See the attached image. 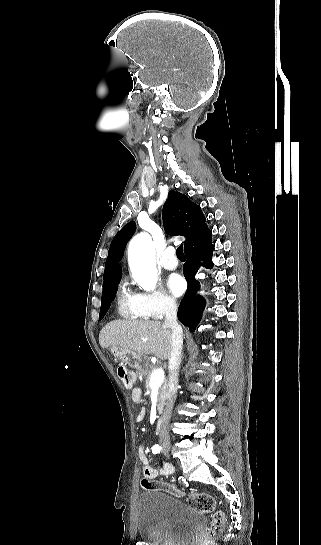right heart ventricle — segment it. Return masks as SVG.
Segmentation results:
<instances>
[{
	"label": "right heart ventricle",
	"instance_id": "obj_1",
	"mask_svg": "<svg viewBox=\"0 0 321 545\" xmlns=\"http://www.w3.org/2000/svg\"><path fill=\"white\" fill-rule=\"evenodd\" d=\"M117 311L120 317L129 321H145L138 310L133 295L121 292L117 298Z\"/></svg>",
	"mask_w": 321,
	"mask_h": 545
}]
</instances>
